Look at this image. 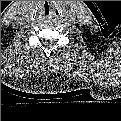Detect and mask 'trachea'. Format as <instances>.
I'll return each instance as SVG.
<instances>
[{
	"label": "trachea",
	"mask_w": 121,
	"mask_h": 121,
	"mask_svg": "<svg viewBox=\"0 0 121 121\" xmlns=\"http://www.w3.org/2000/svg\"><path fill=\"white\" fill-rule=\"evenodd\" d=\"M40 13L42 16L47 17L52 13V7L49 3L45 2L41 5Z\"/></svg>",
	"instance_id": "trachea-1"
}]
</instances>
